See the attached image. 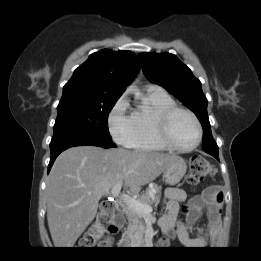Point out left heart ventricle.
<instances>
[{
  "mask_svg": "<svg viewBox=\"0 0 261 261\" xmlns=\"http://www.w3.org/2000/svg\"><path fill=\"white\" fill-rule=\"evenodd\" d=\"M170 134L177 145L188 147L194 144L197 139V128L189 115L178 112L171 120Z\"/></svg>",
  "mask_w": 261,
  "mask_h": 261,
  "instance_id": "b2bd125f",
  "label": "left heart ventricle"
}]
</instances>
